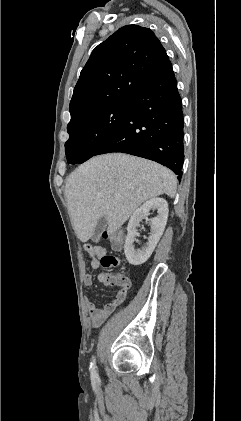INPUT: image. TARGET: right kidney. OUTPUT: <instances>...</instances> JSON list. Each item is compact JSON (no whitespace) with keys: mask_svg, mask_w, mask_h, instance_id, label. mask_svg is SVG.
<instances>
[{"mask_svg":"<svg viewBox=\"0 0 241 421\" xmlns=\"http://www.w3.org/2000/svg\"><path fill=\"white\" fill-rule=\"evenodd\" d=\"M150 210H157V216L149 221L151 229L147 243L141 250H136L134 247V241L137 236V227L142 219L148 217ZM168 212L169 209L166 200L155 197L146 201L132 214L127 226L128 234L124 245L125 256L130 264L135 266L140 265L149 259L163 234L168 219Z\"/></svg>","mask_w":241,"mask_h":421,"instance_id":"1","label":"right kidney"}]
</instances>
